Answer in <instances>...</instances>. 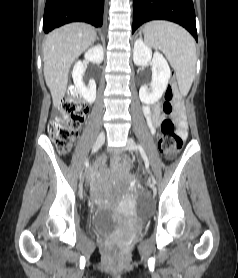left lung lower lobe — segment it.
Here are the masks:
<instances>
[{
  "instance_id": "0a47b994",
  "label": "left lung lower lobe",
  "mask_w": 238,
  "mask_h": 278,
  "mask_svg": "<svg viewBox=\"0 0 238 278\" xmlns=\"http://www.w3.org/2000/svg\"><path fill=\"white\" fill-rule=\"evenodd\" d=\"M132 33L151 20H169L186 28L197 41L192 0H133Z\"/></svg>"
}]
</instances>
